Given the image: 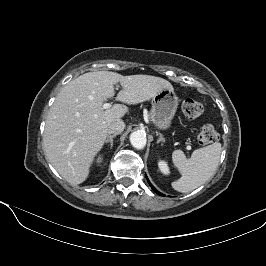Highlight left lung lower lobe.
Listing matches in <instances>:
<instances>
[{"instance_id":"obj_1","label":"left lung lower lobe","mask_w":266,"mask_h":266,"mask_svg":"<svg viewBox=\"0 0 266 266\" xmlns=\"http://www.w3.org/2000/svg\"><path fill=\"white\" fill-rule=\"evenodd\" d=\"M146 178H147V176H146ZM147 180H148V178H147ZM149 184H150V186H151V188L153 189V191H155L157 194H159V195H161V196H164L162 193H160L150 182H148Z\"/></svg>"}]
</instances>
